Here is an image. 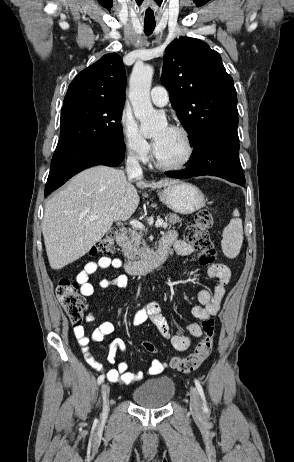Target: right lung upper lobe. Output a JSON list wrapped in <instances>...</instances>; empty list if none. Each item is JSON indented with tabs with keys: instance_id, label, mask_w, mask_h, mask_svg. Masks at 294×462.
Returning <instances> with one entry per match:
<instances>
[{
	"instance_id": "right-lung-upper-lobe-1",
	"label": "right lung upper lobe",
	"mask_w": 294,
	"mask_h": 462,
	"mask_svg": "<svg viewBox=\"0 0 294 462\" xmlns=\"http://www.w3.org/2000/svg\"><path fill=\"white\" fill-rule=\"evenodd\" d=\"M126 73L121 57L116 53L104 55L79 72L70 83L64 103L76 100L125 101Z\"/></svg>"
}]
</instances>
